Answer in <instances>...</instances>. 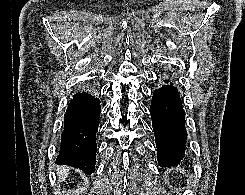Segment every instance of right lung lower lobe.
<instances>
[{"label": "right lung lower lobe", "mask_w": 245, "mask_h": 195, "mask_svg": "<svg viewBox=\"0 0 245 195\" xmlns=\"http://www.w3.org/2000/svg\"><path fill=\"white\" fill-rule=\"evenodd\" d=\"M100 112V101L93 93L81 91L73 96L64 115L57 164L73 166L88 174L95 171Z\"/></svg>", "instance_id": "98d812e1"}]
</instances>
